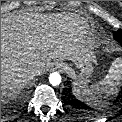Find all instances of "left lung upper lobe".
<instances>
[{"mask_svg":"<svg viewBox=\"0 0 122 122\" xmlns=\"http://www.w3.org/2000/svg\"><path fill=\"white\" fill-rule=\"evenodd\" d=\"M114 38L122 45V30H118L117 32H114Z\"/></svg>","mask_w":122,"mask_h":122,"instance_id":"1","label":"left lung upper lobe"}]
</instances>
